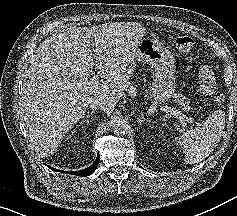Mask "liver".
Segmentation results:
<instances>
[{
  "label": "liver",
  "instance_id": "obj_1",
  "mask_svg": "<svg viewBox=\"0 0 237 216\" xmlns=\"http://www.w3.org/2000/svg\"><path fill=\"white\" fill-rule=\"evenodd\" d=\"M107 26L54 33L21 78L23 122L38 149L54 151L85 117L93 98L105 95L112 105L122 98L135 68L121 61L115 39L105 42ZM93 75L100 79L90 81Z\"/></svg>",
  "mask_w": 237,
  "mask_h": 216
}]
</instances>
